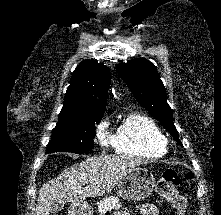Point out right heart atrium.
<instances>
[{"mask_svg": "<svg viewBox=\"0 0 221 215\" xmlns=\"http://www.w3.org/2000/svg\"><path fill=\"white\" fill-rule=\"evenodd\" d=\"M96 137L103 147H108L113 142V135L109 130L108 119H103L97 126Z\"/></svg>", "mask_w": 221, "mask_h": 215, "instance_id": "obj_1", "label": "right heart atrium"}]
</instances>
